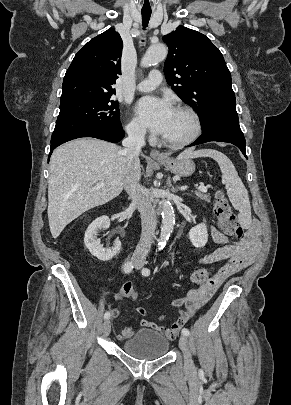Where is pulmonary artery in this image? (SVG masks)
Segmentation results:
<instances>
[{
	"mask_svg": "<svg viewBox=\"0 0 291 405\" xmlns=\"http://www.w3.org/2000/svg\"><path fill=\"white\" fill-rule=\"evenodd\" d=\"M162 74L158 70H152L148 78L138 83L136 89L141 92H148L155 89L162 82Z\"/></svg>",
	"mask_w": 291,
	"mask_h": 405,
	"instance_id": "1",
	"label": "pulmonary artery"
}]
</instances>
